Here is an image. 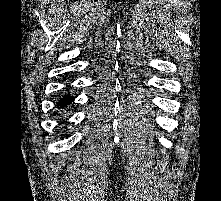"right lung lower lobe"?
I'll list each match as a JSON object with an SVG mask.
<instances>
[{
  "mask_svg": "<svg viewBox=\"0 0 221 201\" xmlns=\"http://www.w3.org/2000/svg\"><path fill=\"white\" fill-rule=\"evenodd\" d=\"M74 100V98L70 95L65 96L61 99V101L59 102V105L61 108L67 106V104H69L70 102H72Z\"/></svg>",
  "mask_w": 221,
  "mask_h": 201,
  "instance_id": "1",
  "label": "right lung lower lobe"
}]
</instances>
